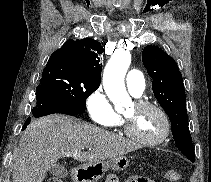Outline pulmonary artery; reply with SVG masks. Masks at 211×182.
Returning a JSON list of instances; mask_svg holds the SVG:
<instances>
[{
    "label": "pulmonary artery",
    "instance_id": "1",
    "mask_svg": "<svg viewBox=\"0 0 211 182\" xmlns=\"http://www.w3.org/2000/svg\"><path fill=\"white\" fill-rule=\"evenodd\" d=\"M126 85L132 95L141 96L145 89L143 74L138 70L129 71L126 76Z\"/></svg>",
    "mask_w": 211,
    "mask_h": 182
}]
</instances>
